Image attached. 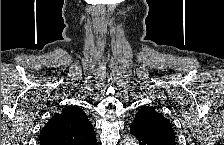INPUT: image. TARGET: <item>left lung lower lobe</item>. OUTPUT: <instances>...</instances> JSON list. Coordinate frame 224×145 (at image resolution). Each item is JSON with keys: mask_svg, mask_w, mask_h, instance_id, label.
<instances>
[{"mask_svg": "<svg viewBox=\"0 0 224 145\" xmlns=\"http://www.w3.org/2000/svg\"><path fill=\"white\" fill-rule=\"evenodd\" d=\"M130 133L135 135L140 145H163L153 135L149 134L144 119L136 116L131 124Z\"/></svg>", "mask_w": 224, "mask_h": 145, "instance_id": "1", "label": "left lung lower lobe"}]
</instances>
